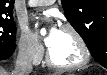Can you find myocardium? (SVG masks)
I'll return each instance as SVG.
<instances>
[{
	"label": "myocardium",
	"instance_id": "obj_1",
	"mask_svg": "<svg viewBox=\"0 0 107 75\" xmlns=\"http://www.w3.org/2000/svg\"><path fill=\"white\" fill-rule=\"evenodd\" d=\"M61 31H66L71 33L76 41L78 42L81 52H82V58L79 62L71 65H61L56 63L50 54V51H48L46 55V63L49 67L55 69V70H61V71H70V70H76L80 69L84 66H86L91 58L90 49L88 47V44L86 43L84 37L81 35V33L72 25L65 24L61 27Z\"/></svg>",
	"mask_w": 107,
	"mask_h": 75
}]
</instances>
